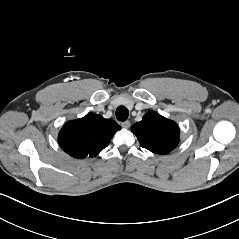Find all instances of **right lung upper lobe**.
<instances>
[{
	"label": "right lung upper lobe",
	"instance_id": "right-lung-upper-lobe-1",
	"mask_svg": "<svg viewBox=\"0 0 239 239\" xmlns=\"http://www.w3.org/2000/svg\"><path fill=\"white\" fill-rule=\"evenodd\" d=\"M120 126L112 119L89 113L85 117L68 121L60 130L61 148L74 158L93 157L108 146Z\"/></svg>",
	"mask_w": 239,
	"mask_h": 239
}]
</instances>
